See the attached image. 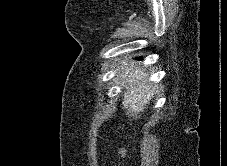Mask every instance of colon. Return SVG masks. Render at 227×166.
Returning <instances> with one entry per match:
<instances>
[{
	"label": "colon",
	"instance_id": "5ec220e1",
	"mask_svg": "<svg viewBox=\"0 0 227 166\" xmlns=\"http://www.w3.org/2000/svg\"><path fill=\"white\" fill-rule=\"evenodd\" d=\"M120 153L123 154V150H121Z\"/></svg>",
	"mask_w": 227,
	"mask_h": 166
}]
</instances>
